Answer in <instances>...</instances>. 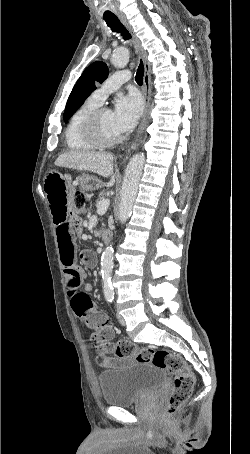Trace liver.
<instances>
[{
  "mask_svg": "<svg viewBox=\"0 0 250 454\" xmlns=\"http://www.w3.org/2000/svg\"><path fill=\"white\" fill-rule=\"evenodd\" d=\"M55 166L97 173L102 177H111L107 187L115 184L113 155L106 152L69 151L59 155Z\"/></svg>",
  "mask_w": 250,
  "mask_h": 454,
  "instance_id": "obj_1",
  "label": "liver"
}]
</instances>
